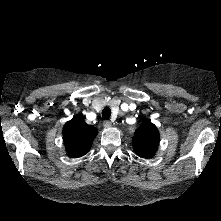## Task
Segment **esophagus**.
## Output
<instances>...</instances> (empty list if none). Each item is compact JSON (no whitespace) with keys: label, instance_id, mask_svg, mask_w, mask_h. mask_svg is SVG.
Returning a JSON list of instances; mask_svg holds the SVG:
<instances>
[{"label":"esophagus","instance_id":"obj_1","mask_svg":"<svg viewBox=\"0 0 221 221\" xmlns=\"http://www.w3.org/2000/svg\"><path fill=\"white\" fill-rule=\"evenodd\" d=\"M103 126L105 128H110L112 126V123L110 121L106 120V121L103 122Z\"/></svg>","mask_w":221,"mask_h":221}]
</instances>
